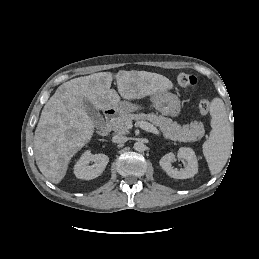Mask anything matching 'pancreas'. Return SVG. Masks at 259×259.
Returning <instances> with one entry per match:
<instances>
[{
  "label": "pancreas",
  "mask_w": 259,
  "mask_h": 259,
  "mask_svg": "<svg viewBox=\"0 0 259 259\" xmlns=\"http://www.w3.org/2000/svg\"><path fill=\"white\" fill-rule=\"evenodd\" d=\"M132 121H148L153 126L158 127L166 139L179 142H194L204 135L202 123L197 121L181 126L170 118L158 115L157 113L124 114L119 116L110 124L117 134H129V124Z\"/></svg>",
  "instance_id": "1"
}]
</instances>
